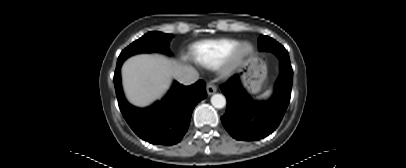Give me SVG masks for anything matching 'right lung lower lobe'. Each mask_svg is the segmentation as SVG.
Instances as JSON below:
<instances>
[{
	"label": "right lung lower lobe",
	"instance_id": "1",
	"mask_svg": "<svg viewBox=\"0 0 406 168\" xmlns=\"http://www.w3.org/2000/svg\"><path fill=\"white\" fill-rule=\"evenodd\" d=\"M122 63L116 66L114 86L121 113L131 129L152 144L173 145L181 141L194 107L207 96L205 82L200 80L191 86L175 82L161 101L147 108H137L124 97L120 74Z\"/></svg>",
	"mask_w": 406,
	"mask_h": 168
}]
</instances>
